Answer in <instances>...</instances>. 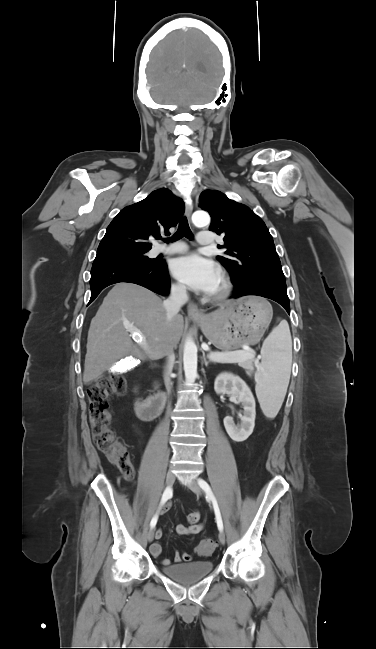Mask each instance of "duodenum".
I'll use <instances>...</instances> for the list:
<instances>
[{
    "mask_svg": "<svg viewBox=\"0 0 376 649\" xmlns=\"http://www.w3.org/2000/svg\"><path fill=\"white\" fill-rule=\"evenodd\" d=\"M134 393V409L138 418L143 421H150L161 413L165 402V395L160 394L145 398L139 396L137 388H135Z\"/></svg>",
    "mask_w": 376,
    "mask_h": 649,
    "instance_id": "duodenum-1",
    "label": "duodenum"
}]
</instances>
